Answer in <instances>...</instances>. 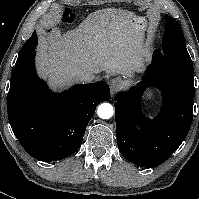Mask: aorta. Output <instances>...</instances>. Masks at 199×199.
<instances>
[{"instance_id": "762f6f07", "label": "aorta", "mask_w": 199, "mask_h": 199, "mask_svg": "<svg viewBox=\"0 0 199 199\" xmlns=\"http://www.w3.org/2000/svg\"><path fill=\"white\" fill-rule=\"evenodd\" d=\"M113 107L109 103H102L99 105L97 113L102 119H109L113 116Z\"/></svg>"}]
</instances>
